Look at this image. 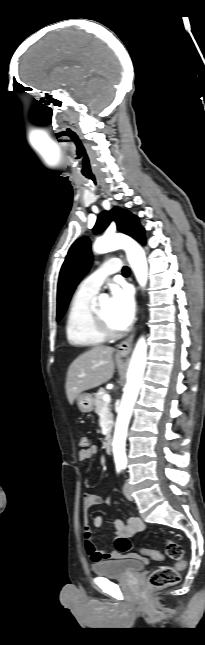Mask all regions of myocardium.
<instances>
[{
	"mask_svg": "<svg viewBox=\"0 0 205 645\" xmlns=\"http://www.w3.org/2000/svg\"><path fill=\"white\" fill-rule=\"evenodd\" d=\"M92 321L97 331L105 338H115L122 334L121 330L114 329L107 323V321L102 316L98 305H93Z\"/></svg>",
	"mask_w": 205,
	"mask_h": 645,
	"instance_id": "f54148a6",
	"label": "myocardium"
}]
</instances>
